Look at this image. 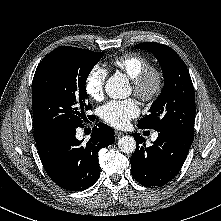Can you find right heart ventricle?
I'll return each instance as SVG.
<instances>
[{
	"label": "right heart ventricle",
	"mask_w": 221,
	"mask_h": 221,
	"mask_svg": "<svg viewBox=\"0 0 221 221\" xmlns=\"http://www.w3.org/2000/svg\"><path fill=\"white\" fill-rule=\"evenodd\" d=\"M112 65L134 80L151 67V60L143 54L129 52L113 58Z\"/></svg>",
	"instance_id": "e07e8e85"
}]
</instances>
